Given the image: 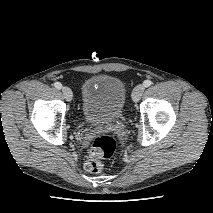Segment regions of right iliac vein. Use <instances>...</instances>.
<instances>
[{
	"instance_id": "obj_1",
	"label": "right iliac vein",
	"mask_w": 213,
	"mask_h": 213,
	"mask_svg": "<svg viewBox=\"0 0 213 213\" xmlns=\"http://www.w3.org/2000/svg\"><path fill=\"white\" fill-rule=\"evenodd\" d=\"M62 93H63L64 98H65L67 101H71V100H72V98H73V93H72V90H71L69 87L64 86V87L62 88Z\"/></svg>"
}]
</instances>
